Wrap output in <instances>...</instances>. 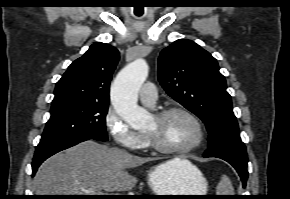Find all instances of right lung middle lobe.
Returning <instances> with one entry per match:
<instances>
[{"label": "right lung middle lobe", "instance_id": "obj_1", "mask_svg": "<svg viewBox=\"0 0 290 199\" xmlns=\"http://www.w3.org/2000/svg\"><path fill=\"white\" fill-rule=\"evenodd\" d=\"M108 104L74 103L51 109L39 145L94 137L107 141L105 117Z\"/></svg>", "mask_w": 290, "mask_h": 199}]
</instances>
